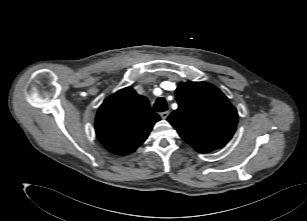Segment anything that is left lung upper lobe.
I'll use <instances>...</instances> for the list:
<instances>
[{"label": "left lung upper lobe", "instance_id": "5c2ea615", "mask_svg": "<svg viewBox=\"0 0 307 221\" xmlns=\"http://www.w3.org/2000/svg\"><path fill=\"white\" fill-rule=\"evenodd\" d=\"M175 94L179 107L167 120L196 151L211 152L232 138L238 114L218 88L206 82H187Z\"/></svg>", "mask_w": 307, "mask_h": 221}]
</instances>
